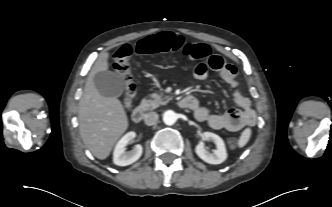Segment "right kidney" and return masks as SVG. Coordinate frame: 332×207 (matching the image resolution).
<instances>
[{
    "label": "right kidney",
    "mask_w": 332,
    "mask_h": 207,
    "mask_svg": "<svg viewBox=\"0 0 332 207\" xmlns=\"http://www.w3.org/2000/svg\"><path fill=\"white\" fill-rule=\"evenodd\" d=\"M136 137V133L131 131L125 134L116 144L113 152V163L118 166H127L136 162L142 155L143 148L136 145L133 150L127 152L126 146Z\"/></svg>",
    "instance_id": "1"
}]
</instances>
